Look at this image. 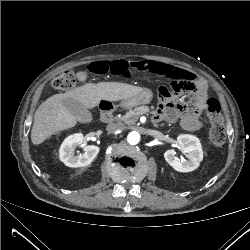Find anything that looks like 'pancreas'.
<instances>
[{
    "label": "pancreas",
    "instance_id": "cf45deb5",
    "mask_svg": "<svg viewBox=\"0 0 250 250\" xmlns=\"http://www.w3.org/2000/svg\"><path fill=\"white\" fill-rule=\"evenodd\" d=\"M149 113L153 112L150 111V108L148 106H140L133 110H130L121 118H117L116 121L119 123L124 122L126 124H134L138 120L140 115Z\"/></svg>",
    "mask_w": 250,
    "mask_h": 250
}]
</instances>
